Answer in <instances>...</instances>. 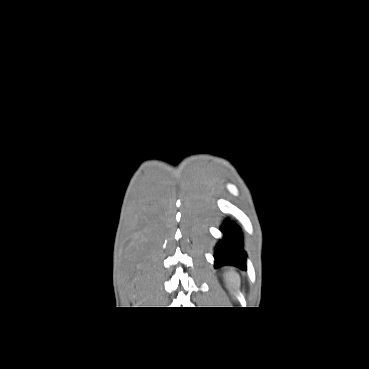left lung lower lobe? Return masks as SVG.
Listing matches in <instances>:
<instances>
[{
  "instance_id": "left-lung-lower-lobe-1",
  "label": "left lung lower lobe",
  "mask_w": 369,
  "mask_h": 369,
  "mask_svg": "<svg viewBox=\"0 0 369 369\" xmlns=\"http://www.w3.org/2000/svg\"><path fill=\"white\" fill-rule=\"evenodd\" d=\"M223 240H219L215 247V267L234 265L246 269V253L240 228L232 222L222 226Z\"/></svg>"
}]
</instances>
